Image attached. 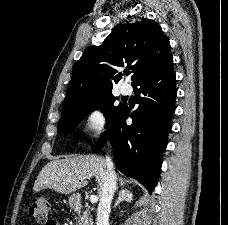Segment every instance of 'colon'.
Masks as SVG:
<instances>
[{"mask_svg":"<svg viewBox=\"0 0 228 225\" xmlns=\"http://www.w3.org/2000/svg\"><path fill=\"white\" fill-rule=\"evenodd\" d=\"M51 204L45 198H33L29 201V213L41 225H57L49 218Z\"/></svg>","mask_w":228,"mask_h":225,"instance_id":"colon-1","label":"colon"}]
</instances>
